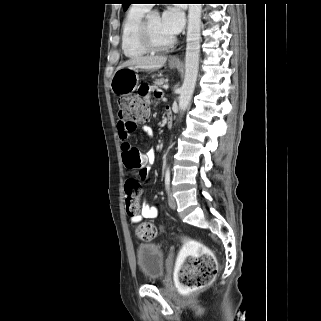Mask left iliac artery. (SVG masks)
<instances>
[{"instance_id":"left-iliac-artery-1","label":"left iliac artery","mask_w":321,"mask_h":321,"mask_svg":"<svg viewBox=\"0 0 321 321\" xmlns=\"http://www.w3.org/2000/svg\"><path fill=\"white\" fill-rule=\"evenodd\" d=\"M165 186H166V190L169 191V187H170V169H169V167H167L166 173H165Z\"/></svg>"}]
</instances>
